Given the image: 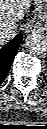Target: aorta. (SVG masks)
<instances>
[{"mask_svg": "<svg viewBox=\"0 0 47 129\" xmlns=\"http://www.w3.org/2000/svg\"><path fill=\"white\" fill-rule=\"evenodd\" d=\"M26 49L32 54H42L47 50L46 37L39 33L30 34L25 41Z\"/></svg>", "mask_w": 47, "mask_h": 129, "instance_id": "aorta-1", "label": "aorta"}]
</instances>
